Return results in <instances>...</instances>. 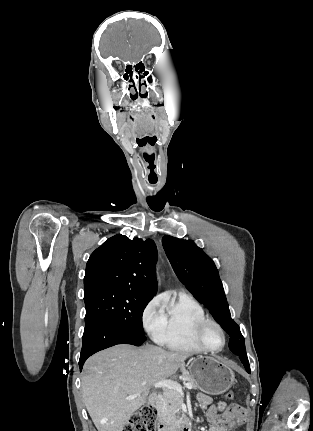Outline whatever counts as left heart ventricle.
Masks as SVG:
<instances>
[{
  "mask_svg": "<svg viewBox=\"0 0 313 431\" xmlns=\"http://www.w3.org/2000/svg\"><path fill=\"white\" fill-rule=\"evenodd\" d=\"M202 340L206 346L212 349L219 348L222 344V336L214 325H207L202 333Z\"/></svg>",
  "mask_w": 313,
  "mask_h": 431,
  "instance_id": "1",
  "label": "left heart ventricle"
}]
</instances>
